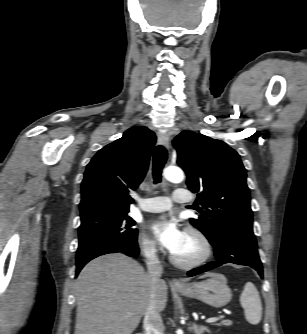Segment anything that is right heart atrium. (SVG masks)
<instances>
[{"label":"right heart atrium","instance_id":"obj_1","mask_svg":"<svg viewBox=\"0 0 307 334\" xmlns=\"http://www.w3.org/2000/svg\"><path fill=\"white\" fill-rule=\"evenodd\" d=\"M138 248L142 255L149 261L158 257L159 249L154 241L144 234H140L137 240Z\"/></svg>","mask_w":307,"mask_h":334}]
</instances>
